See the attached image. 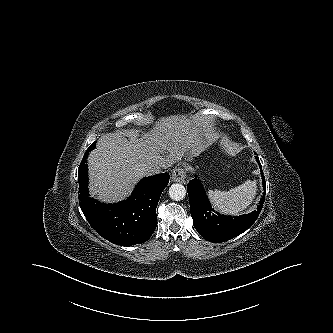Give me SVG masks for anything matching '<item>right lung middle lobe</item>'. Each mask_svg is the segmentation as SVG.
<instances>
[{
	"label": "right lung middle lobe",
	"instance_id": "right-lung-middle-lobe-1",
	"mask_svg": "<svg viewBox=\"0 0 333 333\" xmlns=\"http://www.w3.org/2000/svg\"><path fill=\"white\" fill-rule=\"evenodd\" d=\"M96 147V144L95 143H93L89 148H88V150H93L94 148Z\"/></svg>",
	"mask_w": 333,
	"mask_h": 333
}]
</instances>
